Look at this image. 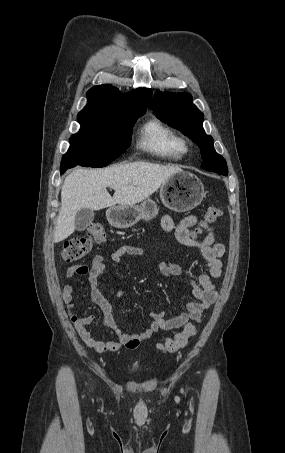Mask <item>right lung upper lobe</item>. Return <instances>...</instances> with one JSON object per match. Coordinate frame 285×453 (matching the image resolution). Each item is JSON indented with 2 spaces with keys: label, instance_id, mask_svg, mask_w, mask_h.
Returning <instances> with one entry per match:
<instances>
[{
  "label": "right lung upper lobe",
  "instance_id": "obj_1",
  "mask_svg": "<svg viewBox=\"0 0 285 453\" xmlns=\"http://www.w3.org/2000/svg\"><path fill=\"white\" fill-rule=\"evenodd\" d=\"M150 89H137L123 95L117 88L100 85L91 88L87 93L88 103L84 110H97L114 113H132L146 111L151 98Z\"/></svg>",
  "mask_w": 285,
  "mask_h": 453
}]
</instances>
